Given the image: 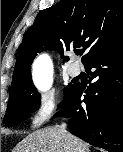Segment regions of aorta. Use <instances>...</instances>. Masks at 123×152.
<instances>
[{
	"label": "aorta",
	"mask_w": 123,
	"mask_h": 152,
	"mask_svg": "<svg viewBox=\"0 0 123 152\" xmlns=\"http://www.w3.org/2000/svg\"><path fill=\"white\" fill-rule=\"evenodd\" d=\"M53 66L47 54L38 56L33 64V78L37 88L46 92L52 84Z\"/></svg>",
	"instance_id": "1"
}]
</instances>
